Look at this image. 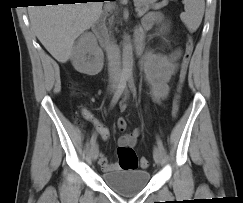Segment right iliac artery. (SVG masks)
Segmentation results:
<instances>
[{
    "label": "right iliac artery",
    "instance_id": "right-iliac-artery-1",
    "mask_svg": "<svg viewBox=\"0 0 243 203\" xmlns=\"http://www.w3.org/2000/svg\"><path fill=\"white\" fill-rule=\"evenodd\" d=\"M126 81H127V77L126 76H122L121 80H120V83L118 85V89L116 90L112 100H111V104L110 106L113 107L119 100V98L121 97L125 87H126ZM96 134H94L92 137H91V140H90V144L91 145H94L95 142H96Z\"/></svg>",
    "mask_w": 243,
    "mask_h": 203
}]
</instances>
